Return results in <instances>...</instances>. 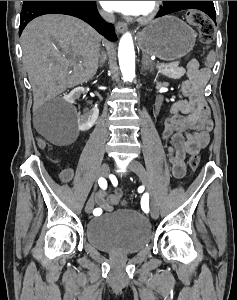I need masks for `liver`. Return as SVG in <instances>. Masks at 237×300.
<instances>
[{
    "instance_id": "obj_1",
    "label": "liver",
    "mask_w": 237,
    "mask_h": 300,
    "mask_svg": "<svg viewBox=\"0 0 237 300\" xmlns=\"http://www.w3.org/2000/svg\"><path fill=\"white\" fill-rule=\"evenodd\" d=\"M23 65L34 85V103L59 95L94 77L101 35L68 15H43L25 27L21 37Z\"/></svg>"
}]
</instances>
